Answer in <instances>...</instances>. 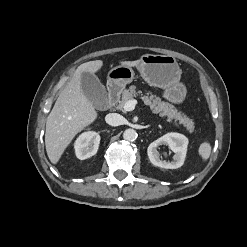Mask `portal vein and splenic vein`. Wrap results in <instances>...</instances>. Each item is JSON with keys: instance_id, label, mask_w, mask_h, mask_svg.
Wrapping results in <instances>:
<instances>
[{"instance_id": "obj_1", "label": "portal vein and splenic vein", "mask_w": 247, "mask_h": 247, "mask_svg": "<svg viewBox=\"0 0 247 247\" xmlns=\"http://www.w3.org/2000/svg\"><path fill=\"white\" fill-rule=\"evenodd\" d=\"M137 104V100H129L124 104L123 109L125 111H133L135 109V105Z\"/></svg>"}]
</instances>
